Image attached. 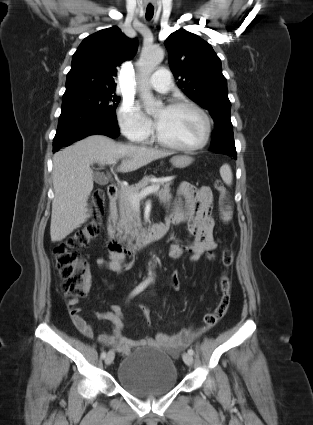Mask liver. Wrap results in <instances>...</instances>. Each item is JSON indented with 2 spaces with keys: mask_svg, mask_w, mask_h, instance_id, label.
Masks as SVG:
<instances>
[{
  "mask_svg": "<svg viewBox=\"0 0 313 425\" xmlns=\"http://www.w3.org/2000/svg\"><path fill=\"white\" fill-rule=\"evenodd\" d=\"M172 154L170 151L116 143L103 135L89 136L55 153L51 241H62L91 216L87 200L93 190L92 163L123 159L118 171L131 172Z\"/></svg>",
  "mask_w": 313,
  "mask_h": 425,
  "instance_id": "obj_1",
  "label": "liver"
}]
</instances>
